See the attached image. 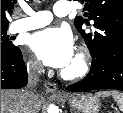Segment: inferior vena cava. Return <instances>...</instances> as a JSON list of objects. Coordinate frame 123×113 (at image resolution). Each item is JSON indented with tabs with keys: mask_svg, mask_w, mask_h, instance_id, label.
I'll use <instances>...</instances> for the list:
<instances>
[{
	"mask_svg": "<svg viewBox=\"0 0 123 113\" xmlns=\"http://www.w3.org/2000/svg\"><path fill=\"white\" fill-rule=\"evenodd\" d=\"M42 71L43 67L38 63L28 65V89L24 91L23 113H35L34 106L37 96L33 93L32 88L36 86Z\"/></svg>",
	"mask_w": 123,
	"mask_h": 113,
	"instance_id": "obj_1",
	"label": "inferior vena cava"
}]
</instances>
